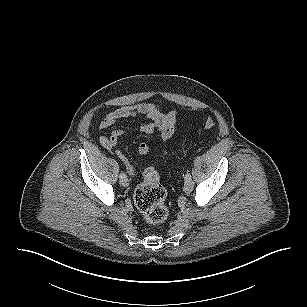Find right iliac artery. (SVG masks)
<instances>
[{"label":"right iliac artery","mask_w":307,"mask_h":307,"mask_svg":"<svg viewBox=\"0 0 307 307\" xmlns=\"http://www.w3.org/2000/svg\"><path fill=\"white\" fill-rule=\"evenodd\" d=\"M119 177L123 178V177H126V175L124 173H121Z\"/></svg>","instance_id":"obj_1"}]
</instances>
